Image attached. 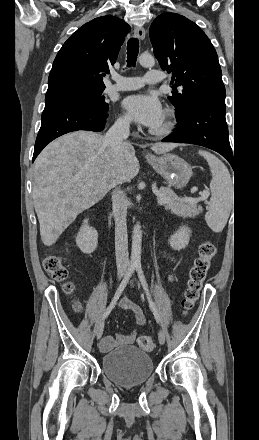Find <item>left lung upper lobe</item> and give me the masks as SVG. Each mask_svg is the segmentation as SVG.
<instances>
[{
  "mask_svg": "<svg viewBox=\"0 0 259 440\" xmlns=\"http://www.w3.org/2000/svg\"><path fill=\"white\" fill-rule=\"evenodd\" d=\"M150 40L161 68L172 73L176 87H182L168 97L176 108V118L184 116L199 99L225 102L217 53L197 24L176 13H163L150 27Z\"/></svg>",
  "mask_w": 259,
  "mask_h": 440,
  "instance_id": "left-lung-upper-lobe-1",
  "label": "left lung upper lobe"
}]
</instances>
